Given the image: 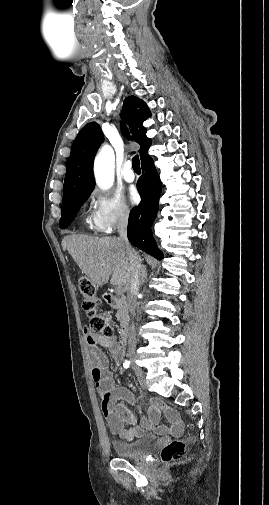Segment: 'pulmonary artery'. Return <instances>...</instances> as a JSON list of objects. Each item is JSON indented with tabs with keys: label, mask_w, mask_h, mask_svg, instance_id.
I'll list each match as a JSON object with an SVG mask.
<instances>
[{
	"label": "pulmonary artery",
	"mask_w": 269,
	"mask_h": 505,
	"mask_svg": "<svg viewBox=\"0 0 269 505\" xmlns=\"http://www.w3.org/2000/svg\"><path fill=\"white\" fill-rule=\"evenodd\" d=\"M123 178L127 182H133L135 180V173L132 169V162L127 161L124 165L123 171H122Z\"/></svg>",
	"instance_id": "e3ab8cb5"
}]
</instances>
